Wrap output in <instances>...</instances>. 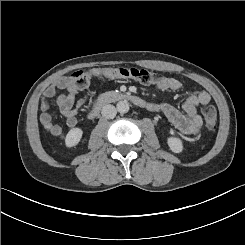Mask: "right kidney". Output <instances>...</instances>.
<instances>
[{"instance_id":"right-kidney-1","label":"right kidney","mask_w":245,"mask_h":245,"mask_svg":"<svg viewBox=\"0 0 245 245\" xmlns=\"http://www.w3.org/2000/svg\"><path fill=\"white\" fill-rule=\"evenodd\" d=\"M68 133L70 134V147H73L79 143L83 131L80 128H73Z\"/></svg>"}]
</instances>
